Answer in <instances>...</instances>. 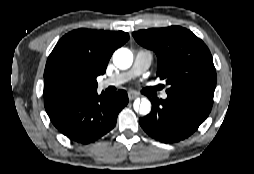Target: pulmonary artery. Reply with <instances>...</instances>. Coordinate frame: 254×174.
<instances>
[{
  "label": "pulmonary artery",
  "mask_w": 254,
  "mask_h": 174,
  "mask_svg": "<svg viewBox=\"0 0 254 174\" xmlns=\"http://www.w3.org/2000/svg\"><path fill=\"white\" fill-rule=\"evenodd\" d=\"M153 60V55L149 50L140 49L135 56L133 66L130 70L121 72L114 76L108 77L101 81L100 87L106 88L109 86H119L125 82L133 79L134 77L140 75L146 71ZM162 99L167 98V93L163 92L161 94Z\"/></svg>",
  "instance_id": "obj_1"
}]
</instances>
